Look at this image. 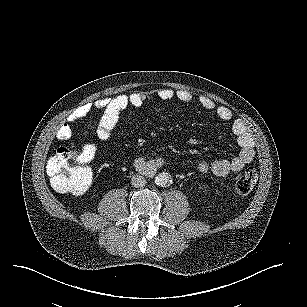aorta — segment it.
Segmentation results:
<instances>
[{
  "label": "aorta",
  "instance_id": "762f6f07",
  "mask_svg": "<svg viewBox=\"0 0 307 307\" xmlns=\"http://www.w3.org/2000/svg\"><path fill=\"white\" fill-rule=\"evenodd\" d=\"M155 184L160 187H167L171 184V176L166 172L159 173L155 177Z\"/></svg>",
  "mask_w": 307,
  "mask_h": 307
}]
</instances>
